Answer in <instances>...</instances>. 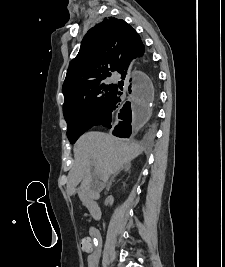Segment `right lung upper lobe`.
I'll list each match as a JSON object with an SVG mask.
<instances>
[{
    "label": "right lung upper lobe",
    "instance_id": "right-lung-upper-lobe-1",
    "mask_svg": "<svg viewBox=\"0 0 225 267\" xmlns=\"http://www.w3.org/2000/svg\"><path fill=\"white\" fill-rule=\"evenodd\" d=\"M141 43L140 36L124 20L105 19L91 28L82 40L78 55L71 61L62 86L64 97L117 71L126 54Z\"/></svg>",
    "mask_w": 225,
    "mask_h": 267
}]
</instances>
